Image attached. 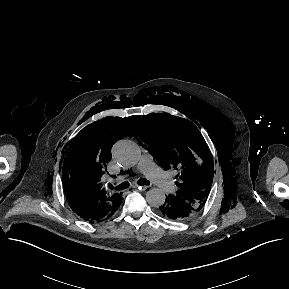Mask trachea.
Instances as JSON below:
<instances>
[{
	"label": "trachea",
	"instance_id": "1",
	"mask_svg": "<svg viewBox=\"0 0 289 289\" xmlns=\"http://www.w3.org/2000/svg\"><path fill=\"white\" fill-rule=\"evenodd\" d=\"M137 184L143 186V185H149L150 182H149L148 180L144 179V178H140V179L137 181ZM129 185H130L129 182L125 181V182L119 184L118 186H116L115 189H116V190H123V189L128 188ZM108 186H109L110 188H113V186H112L111 184H108Z\"/></svg>",
	"mask_w": 289,
	"mask_h": 289
}]
</instances>
